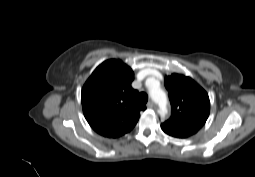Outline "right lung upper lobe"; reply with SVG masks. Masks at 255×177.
<instances>
[{
    "mask_svg": "<svg viewBox=\"0 0 255 177\" xmlns=\"http://www.w3.org/2000/svg\"><path fill=\"white\" fill-rule=\"evenodd\" d=\"M132 69L120 60L100 64L82 88L86 120L98 134L116 138L134 128L146 107L135 101Z\"/></svg>",
    "mask_w": 255,
    "mask_h": 177,
    "instance_id": "cb5924a9",
    "label": "right lung upper lobe"
}]
</instances>
